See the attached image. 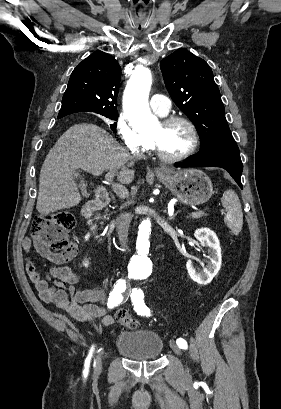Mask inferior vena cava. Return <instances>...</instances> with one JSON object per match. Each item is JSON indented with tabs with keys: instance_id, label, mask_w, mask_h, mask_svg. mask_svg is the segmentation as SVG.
Instances as JSON below:
<instances>
[{
	"instance_id": "obj_1",
	"label": "inferior vena cava",
	"mask_w": 281,
	"mask_h": 409,
	"mask_svg": "<svg viewBox=\"0 0 281 409\" xmlns=\"http://www.w3.org/2000/svg\"><path fill=\"white\" fill-rule=\"evenodd\" d=\"M131 223V217L129 215H120L116 221V231L119 237L120 245L125 249L126 243H128V231Z\"/></svg>"
}]
</instances>
